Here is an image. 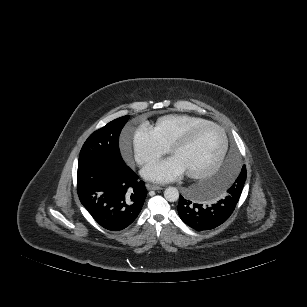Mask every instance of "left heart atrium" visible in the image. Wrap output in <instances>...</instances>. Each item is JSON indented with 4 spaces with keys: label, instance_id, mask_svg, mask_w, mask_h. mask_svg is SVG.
Returning <instances> with one entry per match:
<instances>
[{
    "label": "left heart atrium",
    "instance_id": "obj_1",
    "mask_svg": "<svg viewBox=\"0 0 307 307\" xmlns=\"http://www.w3.org/2000/svg\"><path fill=\"white\" fill-rule=\"evenodd\" d=\"M184 172L181 164L171 157L146 166L142 170V175L151 181L167 182L179 178Z\"/></svg>",
    "mask_w": 307,
    "mask_h": 307
}]
</instances>
